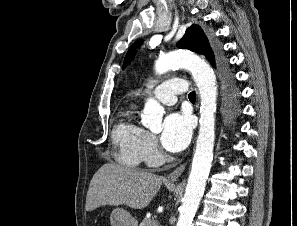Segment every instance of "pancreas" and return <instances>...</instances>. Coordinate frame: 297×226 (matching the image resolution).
<instances>
[{
  "mask_svg": "<svg viewBox=\"0 0 297 226\" xmlns=\"http://www.w3.org/2000/svg\"><path fill=\"white\" fill-rule=\"evenodd\" d=\"M139 226H159V223L154 219H144Z\"/></svg>",
  "mask_w": 297,
  "mask_h": 226,
  "instance_id": "cf45deb5",
  "label": "pancreas"
}]
</instances>
